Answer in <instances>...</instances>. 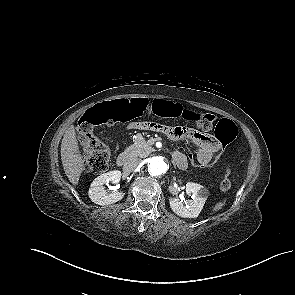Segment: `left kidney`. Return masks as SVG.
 Segmentation results:
<instances>
[{"label": "left kidney", "mask_w": 295, "mask_h": 295, "mask_svg": "<svg viewBox=\"0 0 295 295\" xmlns=\"http://www.w3.org/2000/svg\"><path fill=\"white\" fill-rule=\"evenodd\" d=\"M186 193L189 195L192 194V199L179 201L170 198V207L172 211L180 217L196 218L207 200L208 190L200 184L188 182L186 184Z\"/></svg>", "instance_id": "5707ae66"}]
</instances>
